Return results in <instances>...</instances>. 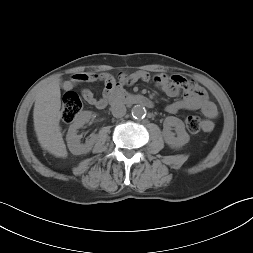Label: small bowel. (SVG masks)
<instances>
[{"mask_svg": "<svg viewBox=\"0 0 253 253\" xmlns=\"http://www.w3.org/2000/svg\"><path fill=\"white\" fill-rule=\"evenodd\" d=\"M151 76L145 71H138L133 74H119L116 78L109 74L99 73H78L63 83L64 90H71L83 83L103 82L106 89L120 81L122 83H134L138 80L149 81ZM154 83L168 96L177 97L183 92V97L171 102L166 106V111L176 114L182 110H200L205 116L203 130L209 132L214 128V119L218 115L216 105L208 98L206 91L198 84L185 79L180 75L169 76L164 73L156 74ZM82 96L86 102L101 109L102 98L95 96L89 89L82 90Z\"/></svg>", "mask_w": 253, "mask_h": 253, "instance_id": "small-bowel-1", "label": "small bowel"}]
</instances>
